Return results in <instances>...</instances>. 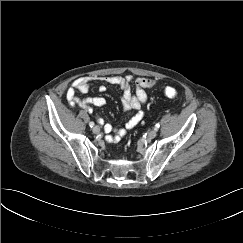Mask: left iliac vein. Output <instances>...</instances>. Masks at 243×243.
Returning a JSON list of instances; mask_svg holds the SVG:
<instances>
[{
  "label": "left iliac vein",
  "instance_id": "4c4485c4",
  "mask_svg": "<svg viewBox=\"0 0 243 243\" xmlns=\"http://www.w3.org/2000/svg\"><path fill=\"white\" fill-rule=\"evenodd\" d=\"M157 135V131L154 129V130H151L149 133H148V138L149 139H153L155 138Z\"/></svg>",
  "mask_w": 243,
  "mask_h": 243
}]
</instances>
